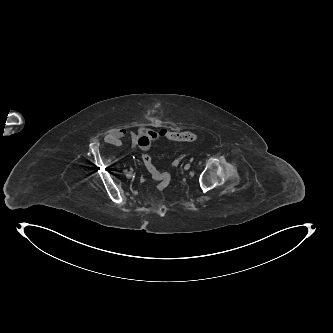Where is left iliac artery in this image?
Listing matches in <instances>:
<instances>
[{
	"label": "left iliac artery",
	"mask_w": 333,
	"mask_h": 333,
	"mask_svg": "<svg viewBox=\"0 0 333 333\" xmlns=\"http://www.w3.org/2000/svg\"><path fill=\"white\" fill-rule=\"evenodd\" d=\"M190 161L192 162V161H193V158H191Z\"/></svg>",
	"instance_id": "44dca946"
}]
</instances>
